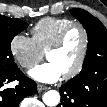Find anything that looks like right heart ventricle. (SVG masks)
<instances>
[{
  "instance_id": "e07e8e85",
  "label": "right heart ventricle",
  "mask_w": 107,
  "mask_h": 107,
  "mask_svg": "<svg viewBox=\"0 0 107 107\" xmlns=\"http://www.w3.org/2000/svg\"><path fill=\"white\" fill-rule=\"evenodd\" d=\"M74 21L66 17H46L39 20L32 28V38L44 52L54 43L60 32Z\"/></svg>"
}]
</instances>
